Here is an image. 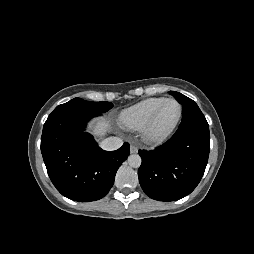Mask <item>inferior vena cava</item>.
Returning a JSON list of instances; mask_svg holds the SVG:
<instances>
[{"instance_id":"obj_1","label":"inferior vena cava","mask_w":254,"mask_h":254,"mask_svg":"<svg viewBox=\"0 0 254 254\" xmlns=\"http://www.w3.org/2000/svg\"><path fill=\"white\" fill-rule=\"evenodd\" d=\"M123 145L122 139L118 137H109L100 143V147L106 151H113L119 149Z\"/></svg>"}]
</instances>
